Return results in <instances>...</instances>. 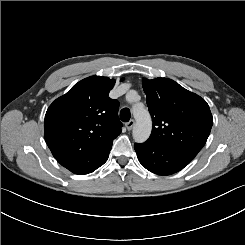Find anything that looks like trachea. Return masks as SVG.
I'll list each match as a JSON object with an SVG mask.
<instances>
[{"instance_id":"obj_1","label":"trachea","mask_w":245,"mask_h":245,"mask_svg":"<svg viewBox=\"0 0 245 245\" xmlns=\"http://www.w3.org/2000/svg\"><path fill=\"white\" fill-rule=\"evenodd\" d=\"M120 119L124 122L130 119V110L128 108H123L120 112Z\"/></svg>"}]
</instances>
